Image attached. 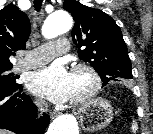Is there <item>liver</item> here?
<instances>
[{"instance_id": "obj_1", "label": "liver", "mask_w": 153, "mask_h": 134, "mask_svg": "<svg viewBox=\"0 0 153 134\" xmlns=\"http://www.w3.org/2000/svg\"><path fill=\"white\" fill-rule=\"evenodd\" d=\"M0 134H11L9 131L0 129Z\"/></svg>"}]
</instances>
